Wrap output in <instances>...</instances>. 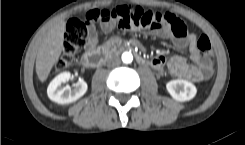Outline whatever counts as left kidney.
<instances>
[{
  "instance_id": "obj_1",
  "label": "left kidney",
  "mask_w": 245,
  "mask_h": 145,
  "mask_svg": "<svg viewBox=\"0 0 245 145\" xmlns=\"http://www.w3.org/2000/svg\"><path fill=\"white\" fill-rule=\"evenodd\" d=\"M167 91L173 99L185 102L193 99L197 93L194 84L186 80H172L166 84Z\"/></svg>"
}]
</instances>
